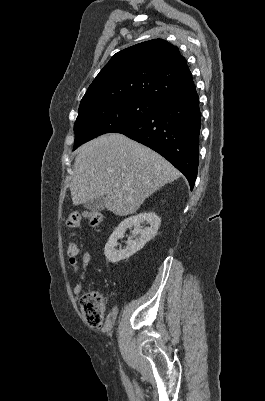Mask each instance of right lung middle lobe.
Instances as JSON below:
<instances>
[{"label":"right lung middle lobe","instance_id":"right-lung-middle-lobe-1","mask_svg":"<svg viewBox=\"0 0 265 401\" xmlns=\"http://www.w3.org/2000/svg\"><path fill=\"white\" fill-rule=\"evenodd\" d=\"M159 102L142 98L103 99L79 106L74 150L95 137L114 132L153 114Z\"/></svg>","mask_w":265,"mask_h":401}]
</instances>
